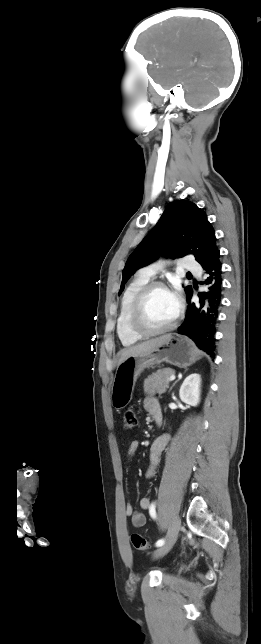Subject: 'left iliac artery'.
Here are the masks:
<instances>
[{
    "label": "left iliac artery",
    "mask_w": 261,
    "mask_h": 644,
    "mask_svg": "<svg viewBox=\"0 0 261 644\" xmlns=\"http://www.w3.org/2000/svg\"><path fill=\"white\" fill-rule=\"evenodd\" d=\"M149 513H150V515H151V517H152L153 519H155V518H156V511H155V503H154V502H153V503L151 504V506H150ZM164 543H165V540H164V539H160V540H158V541L156 542V544H155V545H156L157 547H161L162 545H164Z\"/></svg>",
    "instance_id": "obj_1"
}]
</instances>
